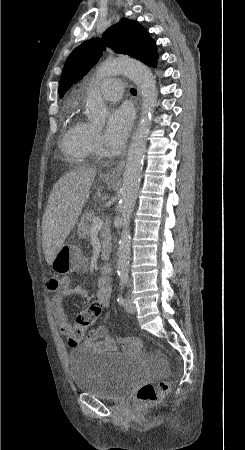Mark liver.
I'll list each match as a JSON object with an SVG mask.
<instances>
[{"mask_svg": "<svg viewBox=\"0 0 245 450\" xmlns=\"http://www.w3.org/2000/svg\"><path fill=\"white\" fill-rule=\"evenodd\" d=\"M95 175V169L81 167L54 184L42 220V247L48 265L52 264L77 223Z\"/></svg>", "mask_w": 245, "mask_h": 450, "instance_id": "liver-1", "label": "liver"}]
</instances>
